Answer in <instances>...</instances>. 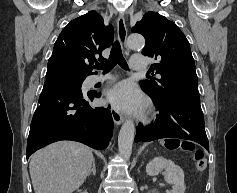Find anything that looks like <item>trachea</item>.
<instances>
[{"label":"trachea","mask_w":237,"mask_h":193,"mask_svg":"<svg viewBox=\"0 0 237 193\" xmlns=\"http://www.w3.org/2000/svg\"><path fill=\"white\" fill-rule=\"evenodd\" d=\"M118 64L123 69L127 70L128 65L126 60L123 57L120 43L116 41L112 47L109 59L105 63H97L94 68L101 69L104 73H107L113 69V67Z\"/></svg>","instance_id":"3493384b"}]
</instances>
